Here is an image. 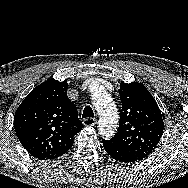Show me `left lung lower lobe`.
I'll return each instance as SVG.
<instances>
[{
    "label": "left lung lower lobe",
    "mask_w": 188,
    "mask_h": 188,
    "mask_svg": "<svg viewBox=\"0 0 188 188\" xmlns=\"http://www.w3.org/2000/svg\"><path fill=\"white\" fill-rule=\"evenodd\" d=\"M103 147L105 151L110 155L113 159L121 162H134L137 160H142L134 153L124 150L121 147H118L114 143L109 140L102 139Z\"/></svg>",
    "instance_id": "1"
}]
</instances>
